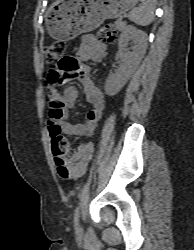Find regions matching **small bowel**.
<instances>
[{"label":"small bowel","mask_w":194,"mask_h":250,"mask_svg":"<svg viewBox=\"0 0 194 250\" xmlns=\"http://www.w3.org/2000/svg\"><path fill=\"white\" fill-rule=\"evenodd\" d=\"M106 53V45L95 35L87 34L82 37L81 44L74 57L64 58L53 70L62 74L65 80L77 79L83 86L86 98L92 105L83 123L70 124L65 119L75 109L79 92L75 86H67L62 94L50 88L51 108L49 112V133H63L68 136L90 137L96 130L105 106V89L96 86L90 78V67L87 61L101 62ZM58 102L62 106L57 105ZM94 145L90 141L79 145L76 155L67 160L70 176L65 179H78L87 170L93 157Z\"/></svg>","instance_id":"small-bowel-1"}]
</instances>
